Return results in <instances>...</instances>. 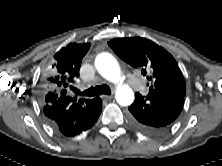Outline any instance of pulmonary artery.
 Segmentation results:
<instances>
[{
    "mask_svg": "<svg viewBox=\"0 0 222 166\" xmlns=\"http://www.w3.org/2000/svg\"><path fill=\"white\" fill-rule=\"evenodd\" d=\"M125 74H126V76H127V78H128V82H129L131 85H134L135 80H134V78L131 76V74L128 73V72H125ZM79 89L82 90L83 87H80Z\"/></svg>",
    "mask_w": 222,
    "mask_h": 166,
    "instance_id": "obj_1",
    "label": "pulmonary artery"
}]
</instances>
